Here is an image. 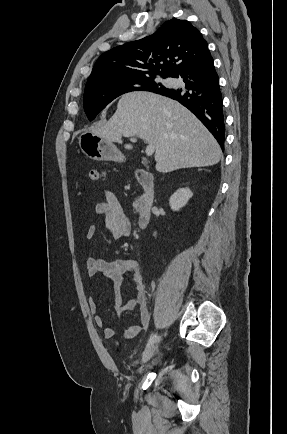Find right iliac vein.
<instances>
[{"label": "right iliac vein", "mask_w": 287, "mask_h": 434, "mask_svg": "<svg viewBox=\"0 0 287 434\" xmlns=\"http://www.w3.org/2000/svg\"><path fill=\"white\" fill-rule=\"evenodd\" d=\"M157 343H154L152 345H150L143 353L142 355V359L141 362L142 364L147 363L155 354L156 350H157Z\"/></svg>", "instance_id": "obj_1"}]
</instances>
